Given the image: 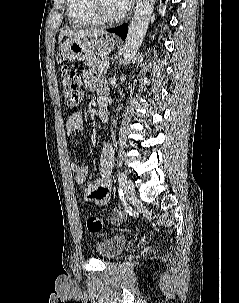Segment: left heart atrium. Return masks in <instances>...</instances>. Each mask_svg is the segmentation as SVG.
I'll use <instances>...</instances> for the list:
<instances>
[{
    "mask_svg": "<svg viewBox=\"0 0 239 303\" xmlns=\"http://www.w3.org/2000/svg\"><path fill=\"white\" fill-rule=\"evenodd\" d=\"M115 1L123 11H126L130 8L133 0H115Z\"/></svg>",
    "mask_w": 239,
    "mask_h": 303,
    "instance_id": "39dd6f15",
    "label": "left heart atrium"
}]
</instances>
